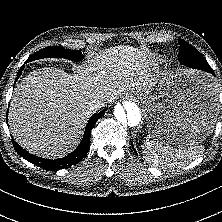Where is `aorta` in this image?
<instances>
[{"label": "aorta", "instance_id": "1", "mask_svg": "<svg viewBox=\"0 0 222 222\" xmlns=\"http://www.w3.org/2000/svg\"><path fill=\"white\" fill-rule=\"evenodd\" d=\"M114 117L124 127H135L142 119L141 109L137 103L127 100L114 107Z\"/></svg>", "mask_w": 222, "mask_h": 222}]
</instances>
